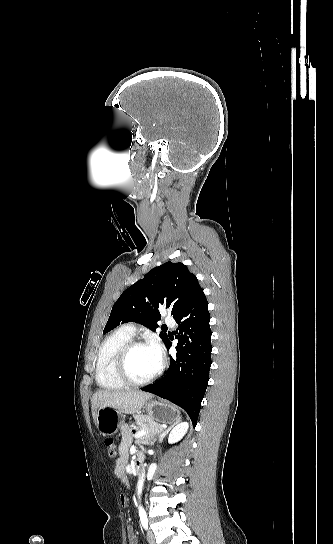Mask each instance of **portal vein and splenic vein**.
Masks as SVG:
<instances>
[{"mask_svg": "<svg viewBox=\"0 0 333 544\" xmlns=\"http://www.w3.org/2000/svg\"><path fill=\"white\" fill-rule=\"evenodd\" d=\"M146 433H147L146 430H140V431L137 433L136 438H139V437H141V436H144Z\"/></svg>", "mask_w": 333, "mask_h": 544, "instance_id": "portal-vein-and-splenic-vein-1", "label": "portal vein and splenic vein"}]
</instances>
